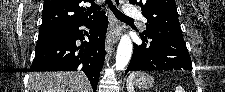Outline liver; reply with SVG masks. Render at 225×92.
I'll return each mask as SVG.
<instances>
[{
    "label": "liver",
    "instance_id": "liver-1",
    "mask_svg": "<svg viewBox=\"0 0 225 92\" xmlns=\"http://www.w3.org/2000/svg\"><path fill=\"white\" fill-rule=\"evenodd\" d=\"M27 88L28 92H91L82 72H34Z\"/></svg>",
    "mask_w": 225,
    "mask_h": 92
}]
</instances>
